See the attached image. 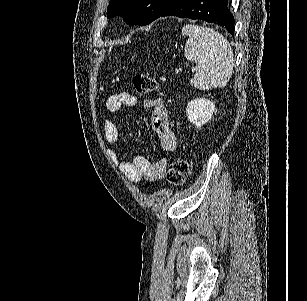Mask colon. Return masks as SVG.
Here are the masks:
<instances>
[{
    "label": "colon",
    "instance_id": "colon-1",
    "mask_svg": "<svg viewBox=\"0 0 307 301\" xmlns=\"http://www.w3.org/2000/svg\"><path fill=\"white\" fill-rule=\"evenodd\" d=\"M133 85L138 93L145 94L157 89L158 80L151 74L141 73L134 76ZM188 173L189 164L187 160L178 158L168 166L167 179L171 184L181 186L185 183Z\"/></svg>",
    "mask_w": 307,
    "mask_h": 301
}]
</instances>
